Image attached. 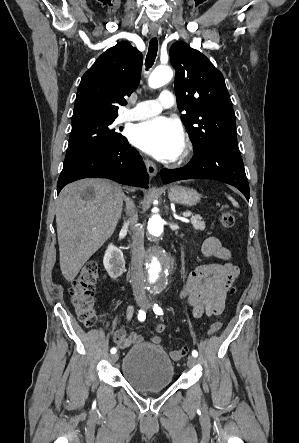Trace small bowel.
<instances>
[{
  "label": "small bowel",
  "instance_id": "1",
  "mask_svg": "<svg viewBox=\"0 0 299 443\" xmlns=\"http://www.w3.org/2000/svg\"><path fill=\"white\" fill-rule=\"evenodd\" d=\"M202 254L215 261L197 266L186 278L183 295L191 308L193 317H208L222 313L227 291L230 285L238 278L240 270L233 263V256L229 249L224 247L214 236L208 237L202 245ZM134 314V307L128 306L126 322L130 324ZM167 329L164 323L154 327L156 333ZM113 341L120 349H127L132 344H140L143 337L133 331L118 329L113 334ZM161 337L158 334L150 338V344L159 345Z\"/></svg>",
  "mask_w": 299,
  "mask_h": 443
}]
</instances>
